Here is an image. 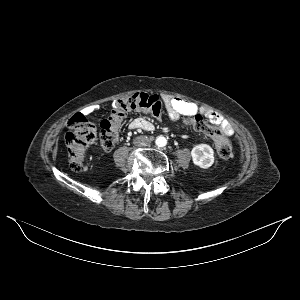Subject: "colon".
Instances as JSON below:
<instances>
[{"label": "colon", "instance_id": "5ec220e1", "mask_svg": "<svg viewBox=\"0 0 300 300\" xmlns=\"http://www.w3.org/2000/svg\"><path fill=\"white\" fill-rule=\"evenodd\" d=\"M143 112L155 118L163 116V104L157 95L144 92L119 99L114 102L110 116L101 123L99 141L103 149H112L118 141L119 131L124 119L131 112ZM184 123L211 137L216 144L218 155L229 159L233 155L230 141L221 130L209 124L201 115L184 119ZM69 131L65 136L68 149V162L75 172L85 169V152L96 137L95 127L82 115H74L68 121Z\"/></svg>", "mask_w": 300, "mask_h": 300}]
</instances>
